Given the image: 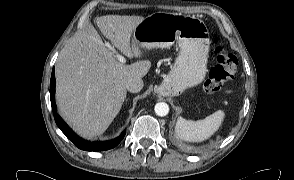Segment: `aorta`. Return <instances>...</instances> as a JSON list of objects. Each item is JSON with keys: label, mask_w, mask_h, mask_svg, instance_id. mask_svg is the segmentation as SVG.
Listing matches in <instances>:
<instances>
[{"label": "aorta", "mask_w": 294, "mask_h": 180, "mask_svg": "<svg viewBox=\"0 0 294 180\" xmlns=\"http://www.w3.org/2000/svg\"><path fill=\"white\" fill-rule=\"evenodd\" d=\"M155 113L158 116H166L169 113V105L165 102H159L155 105Z\"/></svg>", "instance_id": "aorta-1"}]
</instances>
